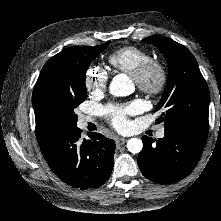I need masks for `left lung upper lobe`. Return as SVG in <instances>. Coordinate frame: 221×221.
<instances>
[{
	"instance_id": "left-lung-upper-lobe-1",
	"label": "left lung upper lobe",
	"mask_w": 221,
	"mask_h": 221,
	"mask_svg": "<svg viewBox=\"0 0 221 221\" xmlns=\"http://www.w3.org/2000/svg\"><path fill=\"white\" fill-rule=\"evenodd\" d=\"M143 43L155 45L164 55L169 75L163 96L156 106L165 130L184 129L208 135L210 95L205 79L192 53L165 36H150Z\"/></svg>"
}]
</instances>
